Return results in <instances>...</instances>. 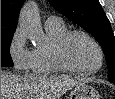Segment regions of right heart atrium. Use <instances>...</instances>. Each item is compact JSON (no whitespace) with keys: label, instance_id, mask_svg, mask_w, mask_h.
Returning a JSON list of instances; mask_svg holds the SVG:
<instances>
[{"label":"right heart atrium","instance_id":"d8ad5b80","mask_svg":"<svg viewBox=\"0 0 115 99\" xmlns=\"http://www.w3.org/2000/svg\"><path fill=\"white\" fill-rule=\"evenodd\" d=\"M8 53L14 67L19 71L29 68L31 51L26 46V32L22 27H18L9 42Z\"/></svg>","mask_w":115,"mask_h":99}]
</instances>
